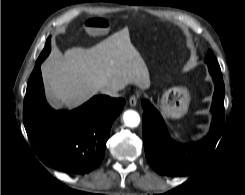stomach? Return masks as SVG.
Segmentation results:
<instances>
[{"label": "stomach", "mask_w": 245, "mask_h": 195, "mask_svg": "<svg viewBox=\"0 0 245 195\" xmlns=\"http://www.w3.org/2000/svg\"><path fill=\"white\" fill-rule=\"evenodd\" d=\"M190 95L185 87H172L160 98V109L164 116L172 119L183 117L189 107Z\"/></svg>", "instance_id": "0dacf381"}]
</instances>
